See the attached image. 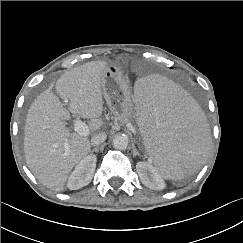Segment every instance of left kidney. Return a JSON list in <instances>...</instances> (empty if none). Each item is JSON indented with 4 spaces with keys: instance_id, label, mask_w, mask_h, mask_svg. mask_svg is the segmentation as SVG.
Returning <instances> with one entry per match:
<instances>
[{
    "instance_id": "1",
    "label": "left kidney",
    "mask_w": 243,
    "mask_h": 243,
    "mask_svg": "<svg viewBox=\"0 0 243 243\" xmlns=\"http://www.w3.org/2000/svg\"><path fill=\"white\" fill-rule=\"evenodd\" d=\"M137 173L143 184L151 189L161 190L165 187V183L161 176L157 173L155 167L148 162H138L136 164Z\"/></svg>"
}]
</instances>
